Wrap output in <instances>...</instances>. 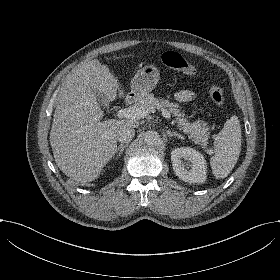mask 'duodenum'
<instances>
[{
    "label": "duodenum",
    "mask_w": 280,
    "mask_h": 280,
    "mask_svg": "<svg viewBox=\"0 0 280 280\" xmlns=\"http://www.w3.org/2000/svg\"><path fill=\"white\" fill-rule=\"evenodd\" d=\"M132 104V100L131 99H126L124 102L125 106H130Z\"/></svg>",
    "instance_id": "1"
}]
</instances>
